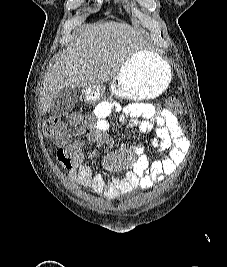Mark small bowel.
I'll list each match as a JSON object with an SVG mask.
<instances>
[{"instance_id":"obj_1","label":"small bowel","mask_w":227,"mask_h":267,"mask_svg":"<svg viewBox=\"0 0 227 267\" xmlns=\"http://www.w3.org/2000/svg\"><path fill=\"white\" fill-rule=\"evenodd\" d=\"M93 117V123L89 118L82 122H74L57 140V159L68 171L73 182L109 199L137 188L148 189L153 184L164 181L183 164L190 149V142L185 136L180 119L169 110L158 109L149 103L120 106L111 101H102L94 107ZM112 118H119L125 123H139L142 132L152 133L150 142L156 150L166 154L150 163L142 155L143 148L136 147L133 149L135 163L128 172L110 178L93 173L90 166L85 163V141L101 145L102 134L110 128ZM87 130L85 140H72Z\"/></svg>"}]
</instances>
